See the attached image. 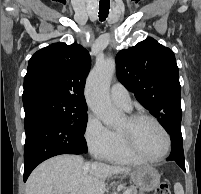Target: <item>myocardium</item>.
Instances as JSON below:
<instances>
[{
	"mask_svg": "<svg viewBox=\"0 0 201 194\" xmlns=\"http://www.w3.org/2000/svg\"><path fill=\"white\" fill-rule=\"evenodd\" d=\"M126 120H127V127L124 129H120V133L123 137L124 144L127 150L132 155L146 162H158L168 156L172 148V138L170 133L166 129V127L157 118L145 113H135V114L128 115L126 117ZM142 120H149L153 122L162 131V133L164 134L166 138V149L161 155L157 157L146 156L143 153H141L136 147L135 140H134V128Z\"/></svg>",
	"mask_w": 201,
	"mask_h": 194,
	"instance_id": "1",
	"label": "myocardium"
}]
</instances>
